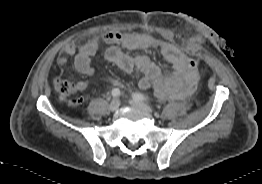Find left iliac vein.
Returning a JSON list of instances; mask_svg holds the SVG:
<instances>
[{
  "label": "left iliac vein",
  "mask_w": 262,
  "mask_h": 184,
  "mask_svg": "<svg viewBox=\"0 0 262 184\" xmlns=\"http://www.w3.org/2000/svg\"><path fill=\"white\" fill-rule=\"evenodd\" d=\"M130 104L132 106H135V107H138V108L145 110L149 114L153 113L151 107L148 104H146L145 102L132 99V100H130Z\"/></svg>",
  "instance_id": "obj_1"
}]
</instances>
